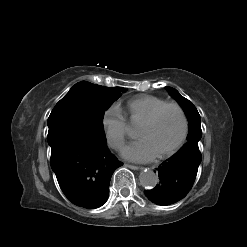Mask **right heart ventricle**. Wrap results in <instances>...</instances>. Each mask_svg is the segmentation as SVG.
Segmentation results:
<instances>
[{
    "mask_svg": "<svg viewBox=\"0 0 247 247\" xmlns=\"http://www.w3.org/2000/svg\"><path fill=\"white\" fill-rule=\"evenodd\" d=\"M167 103L162 99L153 95H139L127 103V115L130 123L140 124L148 118L158 107Z\"/></svg>",
    "mask_w": 247,
    "mask_h": 247,
    "instance_id": "1",
    "label": "right heart ventricle"
}]
</instances>
